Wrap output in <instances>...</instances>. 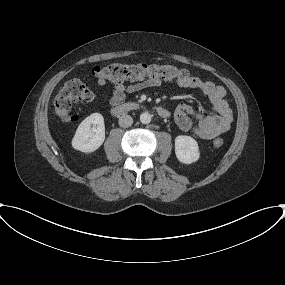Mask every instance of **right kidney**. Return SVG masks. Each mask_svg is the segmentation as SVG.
Segmentation results:
<instances>
[{
    "label": "right kidney",
    "mask_w": 285,
    "mask_h": 285,
    "mask_svg": "<svg viewBox=\"0 0 285 285\" xmlns=\"http://www.w3.org/2000/svg\"><path fill=\"white\" fill-rule=\"evenodd\" d=\"M104 140V118L99 113H93L78 126L72 139V147L84 153H91L97 150Z\"/></svg>",
    "instance_id": "ca27d5eb"
}]
</instances>
